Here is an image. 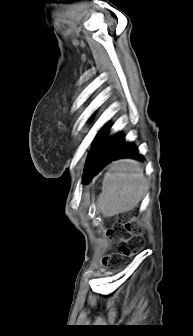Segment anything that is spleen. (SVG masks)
<instances>
[{
    "mask_svg": "<svg viewBox=\"0 0 193 336\" xmlns=\"http://www.w3.org/2000/svg\"><path fill=\"white\" fill-rule=\"evenodd\" d=\"M97 208L104 217L132 210L146 191V179L140 164L133 160L114 162L103 179Z\"/></svg>",
    "mask_w": 193,
    "mask_h": 336,
    "instance_id": "spleen-1",
    "label": "spleen"
}]
</instances>
